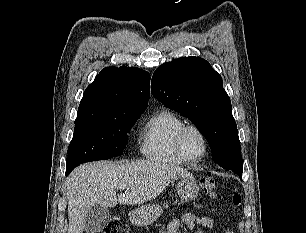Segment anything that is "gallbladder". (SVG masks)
<instances>
[{
    "label": "gallbladder",
    "mask_w": 306,
    "mask_h": 233,
    "mask_svg": "<svg viewBox=\"0 0 306 233\" xmlns=\"http://www.w3.org/2000/svg\"><path fill=\"white\" fill-rule=\"evenodd\" d=\"M109 218L110 212L108 208L95 204L85 214L84 230L87 233H98L106 227Z\"/></svg>",
    "instance_id": "gallbladder-1"
}]
</instances>
